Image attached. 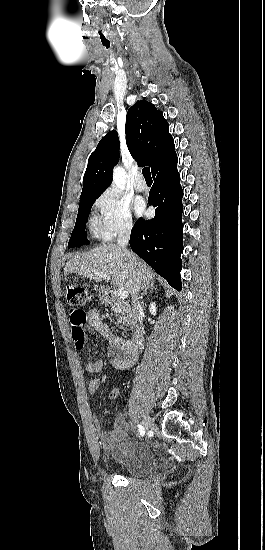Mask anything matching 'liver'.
Returning <instances> with one entry per match:
<instances>
[{
	"instance_id": "1",
	"label": "liver",
	"mask_w": 265,
	"mask_h": 550,
	"mask_svg": "<svg viewBox=\"0 0 265 550\" xmlns=\"http://www.w3.org/2000/svg\"><path fill=\"white\" fill-rule=\"evenodd\" d=\"M131 260L116 244H103L94 249L75 255L65 265L64 275L77 273L83 277L101 281L103 278L95 274L100 272L112 277L114 286L132 294L133 282L136 279L141 288L148 286L154 280V272L136 254L129 252Z\"/></svg>"
}]
</instances>
